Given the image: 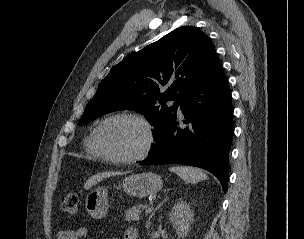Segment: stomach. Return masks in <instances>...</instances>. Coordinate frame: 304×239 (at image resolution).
<instances>
[{
  "mask_svg": "<svg viewBox=\"0 0 304 239\" xmlns=\"http://www.w3.org/2000/svg\"><path fill=\"white\" fill-rule=\"evenodd\" d=\"M163 185L161 177L153 172H143L125 177L121 186L130 196L145 197L158 192ZM85 207L89 215L101 219L108 212L107 189L98 187L86 196Z\"/></svg>",
  "mask_w": 304,
  "mask_h": 239,
  "instance_id": "1",
  "label": "stomach"
}]
</instances>
